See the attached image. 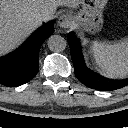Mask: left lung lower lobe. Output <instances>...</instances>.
I'll return each instance as SVG.
<instances>
[{
  "instance_id": "left-lung-lower-lobe-1",
  "label": "left lung lower lobe",
  "mask_w": 128,
  "mask_h": 128,
  "mask_svg": "<svg viewBox=\"0 0 128 128\" xmlns=\"http://www.w3.org/2000/svg\"><path fill=\"white\" fill-rule=\"evenodd\" d=\"M67 40L75 75L84 85L101 91L115 90L128 85V79L120 81L108 80L89 70L84 63L78 39L73 34H68Z\"/></svg>"
}]
</instances>
